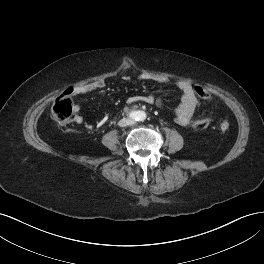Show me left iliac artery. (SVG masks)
Wrapping results in <instances>:
<instances>
[{
  "label": "left iliac artery",
  "instance_id": "44dca946",
  "mask_svg": "<svg viewBox=\"0 0 264 264\" xmlns=\"http://www.w3.org/2000/svg\"><path fill=\"white\" fill-rule=\"evenodd\" d=\"M145 118H146V115H145V113L142 112V113H140L138 120L143 121Z\"/></svg>",
  "mask_w": 264,
  "mask_h": 264
}]
</instances>
